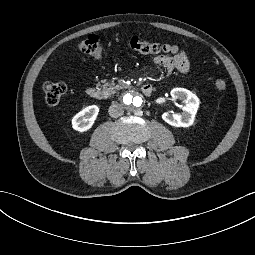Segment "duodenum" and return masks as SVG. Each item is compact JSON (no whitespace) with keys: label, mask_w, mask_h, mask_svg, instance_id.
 <instances>
[{"label":"duodenum","mask_w":255,"mask_h":255,"mask_svg":"<svg viewBox=\"0 0 255 255\" xmlns=\"http://www.w3.org/2000/svg\"><path fill=\"white\" fill-rule=\"evenodd\" d=\"M141 89L142 92L147 96L150 95L153 91V87L150 84H144ZM86 93L90 98L94 100H101L103 98L102 91L96 87H89L86 90Z\"/></svg>","instance_id":"1"}]
</instances>
